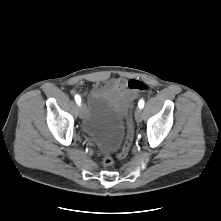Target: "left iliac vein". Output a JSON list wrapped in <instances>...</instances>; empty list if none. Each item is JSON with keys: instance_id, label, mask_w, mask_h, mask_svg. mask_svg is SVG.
<instances>
[{"instance_id": "left-iliac-vein-1", "label": "left iliac vein", "mask_w": 221, "mask_h": 221, "mask_svg": "<svg viewBox=\"0 0 221 221\" xmlns=\"http://www.w3.org/2000/svg\"><path fill=\"white\" fill-rule=\"evenodd\" d=\"M135 119L137 122H141L143 119V111L141 108H137L135 111Z\"/></svg>"}]
</instances>
